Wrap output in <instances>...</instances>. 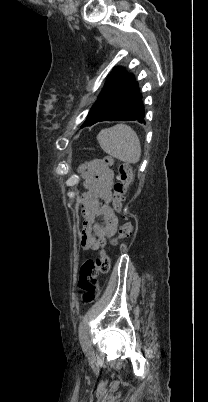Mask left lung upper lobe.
I'll use <instances>...</instances> for the list:
<instances>
[{
  "label": "left lung upper lobe",
  "instance_id": "left-lung-upper-lobe-1",
  "mask_svg": "<svg viewBox=\"0 0 208 402\" xmlns=\"http://www.w3.org/2000/svg\"><path fill=\"white\" fill-rule=\"evenodd\" d=\"M134 76L116 69L106 81L97 102L90 109L86 121L81 127L89 126L99 120L112 106L118 103L134 84Z\"/></svg>",
  "mask_w": 208,
  "mask_h": 402
}]
</instances>
